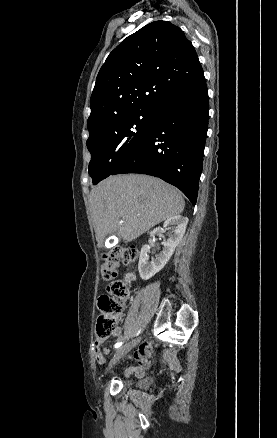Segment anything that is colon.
I'll list each match as a JSON object with an SVG mask.
<instances>
[{"instance_id":"1","label":"colon","mask_w":277,"mask_h":438,"mask_svg":"<svg viewBox=\"0 0 277 438\" xmlns=\"http://www.w3.org/2000/svg\"><path fill=\"white\" fill-rule=\"evenodd\" d=\"M140 255L138 248H121L116 246L103 256L104 263L99 266V276L103 282L110 284L113 296L95 298L94 304L99 307V318L94 319V342H103L121 327L123 305L119 298L126 296L127 288L117 281V266L119 261H133Z\"/></svg>"}]
</instances>
